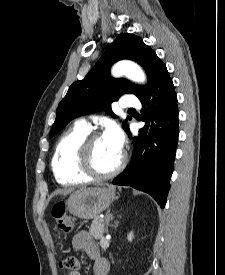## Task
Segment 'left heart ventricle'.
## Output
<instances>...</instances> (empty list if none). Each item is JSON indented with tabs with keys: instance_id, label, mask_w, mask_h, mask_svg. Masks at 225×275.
<instances>
[{
	"instance_id": "left-heart-ventricle-1",
	"label": "left heart ventricle",
	"mask_w": 225,
	"mask_h": 275,
	"mask_svg": "<svg viewBox=\"0 0 225 275\" xmlns=\"http://www.w3.org/2000/svg\"><path fill=\"white\" fill-rule=\"evenodd\" d=\"M121 158V153L115 151L103 137L97 139L92 145V165L99 173L113 170Z\"/></svg>"
}]
</instances>
